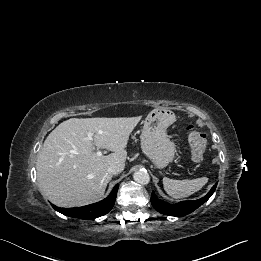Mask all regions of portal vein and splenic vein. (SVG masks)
<instances>
[{
  "label": "portal vein and splenic vein",
  "instance_id": "18ae733b",
  "mask_svg": "<svg viewBox=\"0 0 261 261\" xmlns=\"http://www.w3.org/2000/svg\"><path fill=\"white\" fill-rule=\"evenodd\" d=\"M87 139L90 140V141H93V135L91 133H88ZM96 154L98 156H102V152L101 151H97Z\"/></svg>",
  "mask_w": 261,
  "mask_h": 261
}]
</instances>
